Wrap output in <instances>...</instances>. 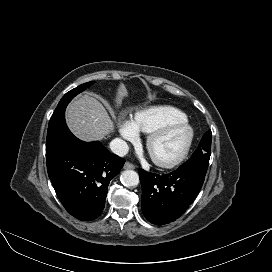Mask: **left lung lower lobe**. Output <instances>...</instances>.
Instances as JSON below:
<instances>
[{
  "mask_svg": "<svg viewBox=\"0 0 272 272\" xmlns=\"http://www.w3.org/2000/svg\"><path fill=\"white\" fill-rule=\"evenodd\" d=\"M209 157L190 158L177 170L159 175L139 169L142 185L141 207L153 224L175 221L193 203L209 165Z\"/></svg>",
  "mask_w": 272,
  "mask_h": 272,
  "instance_id": "obj_1",
  "label": "left lung lower lobe"
}]
</instances>
